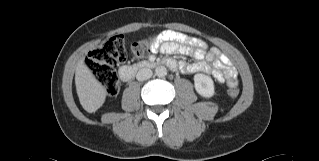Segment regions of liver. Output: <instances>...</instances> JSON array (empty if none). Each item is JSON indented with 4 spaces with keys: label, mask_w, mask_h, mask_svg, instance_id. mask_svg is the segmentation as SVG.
<instances>
[{
    "label": "liver",
    "mask_w": 319,
    "mask_h": 161,
    "mask_svg": "<svg viewBox=\"0 0 319 161\" xmlns=\"http://www.w3.org/2000/svg\"><path fill=\"white\" fill-rule=\"evenodd\" d=\"M76 91L80 104L89 113L97 111L105 102L106 89L92 71L80 60L75 71Z\"/></svg>",
    "instance_id": "liver-1"
}]
</instances>
